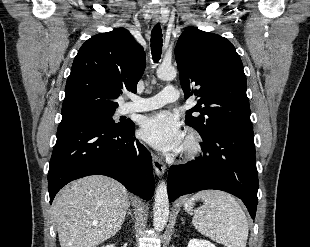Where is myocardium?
<instances>
[{
    "label": "myocardium",
    "instance_id": "myocardium-1",
    "mask_svg": "<svg viewBox=\"0 0 310 247\" xmlns=\"http://www.w3.org/2000/svg\"><path fill=\"white\" fill-rule=\"evenodd\" d=\"M202 151V138L200 134L191 129L187 132L182 146V153L186 158L193 159Z\"/></svg>",
    "mask_w": 310,
    "mask_h": 247
}]
</instances>
